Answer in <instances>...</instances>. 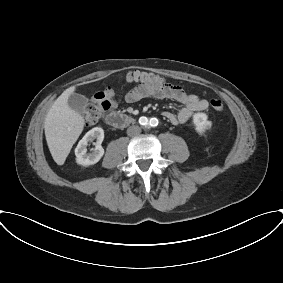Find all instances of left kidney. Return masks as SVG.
<instances>
[{"mask_svg":"<svg viewBox=\"0 0 283 283\" xmlns=\"http://www.w3.org/2000/svg\"><path fill=\"white\" fill-rule=\"evenodd\" d=\"M193 123L196 131L199 133L209 129L212 125V123L208 121V116L205 113H195L193 115Z\"/></svg>","mask_w":283,"mask_h":283,"instance_id":"1","label":"left kidney"}]
</instances>
